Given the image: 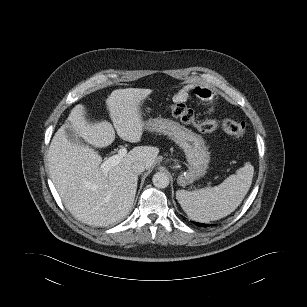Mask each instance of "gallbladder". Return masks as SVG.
Returning a JSON list of instances; mask_svg holds the SVG:
<instances>
[{"label":"gallbladder","mask_w":307,"mask_h":307,"mask_svg":"<svg viewBox=\"0 0 307 307\" xmlns=\"http://www.w3.org/2000/svg\"><path fill=\"white\" fill-rule=\"evenodd\" d=\"M66 134L69 140H71L74 143H83L82 140L76 137L74 131L71 129V127H68L66 129Z\"/></svg>","instance_id":"gallbladder-1"}]
</instances>
